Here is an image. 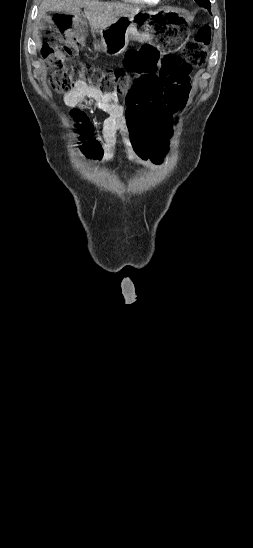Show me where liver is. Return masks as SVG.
I'll return each instance as SVG.
<instances>
[{
    "label": "liver",
    "mask_w": 253,
    "mask_h": 548,
    "mask_svg": "<svg viewBox=\"0 0 253 548\" xmlns=\"http://www.w3.org/2000/svg\"><path fill=\"white\" fill-rule=\"evenodd\" d=\"M82 15L88 20L92 30L100 31L108 28L120 17H127L140 10L131 4L120 2H100L98 0H42L38 12V21L48 11ZM35 38L39 40L38 29Z\"/></svg>",
    "instance_id": "6515ba94"
}]
</instances>
